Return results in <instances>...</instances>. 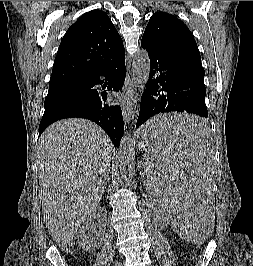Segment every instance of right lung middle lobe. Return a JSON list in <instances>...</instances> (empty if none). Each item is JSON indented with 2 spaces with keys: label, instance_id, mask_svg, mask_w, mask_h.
Returning a JSON list of instances; mask_svg holds the SVG:
<instances>
[{
  "label": "right lung middle lobe",
  "instance_id": "1",
  "mask_svg": "<svg viewBox=\"0 0 253 266\" xmlns=\"http://www.w3.org/2000/svg\"><path fill=\"white\" fill-rule=\"evenodd\" d=\"M82 82L61 83L49 86V91L44 102V115L51 114L66 105L73 98Z\"/></svg>",
  "mask_w": 253,
  "mask_h": 266
}]
</instances>
